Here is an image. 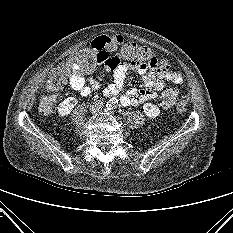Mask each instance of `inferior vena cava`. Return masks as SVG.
Segmentation results:
<instances>
[{
  "mask_svg": "<svg viewBox=\"0 0 233 233\" xmlns=\"http://www.w3.org/2000/svg\"><path fill=\"white\" fill-rule=\"evenodd\" d=\"M103 103L102 102H93L92 105H90V110L92 113H98L99 111L102 110Z\"/></svg>",
  "mask_w": 233,
  "mask_h": 233,
  "instance_id": "1",
  "label": "inferior vena cava"
}]
</instances>
